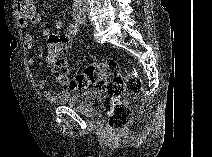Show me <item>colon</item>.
Masks as SVG:
<instances>
[{
  "label": "colon",
  "mask_w": 212,
  "mask_h": 157,
  "mask_svg": "<svg viewBox=\"0 0 212 157\" xmlns=\"http://www.w3.org/2000/svg\"><path fill=\"white\" fill-rule=\"evenodd\" d=\"M71 43L72 40L67 35H51L48 38L45 58L50 71L60 83L67 84L72 89L92 85L115 98L108 126L111 131L123 129L130 123L132 112L128 105L119 101V98L138 96L141 91L139 75L133 70L122 75L118 63L110 59L91 64L83 73L71 78L67 63Z\"/></svg>",
  "instance_id": "colon-1"
}]
</instances>
